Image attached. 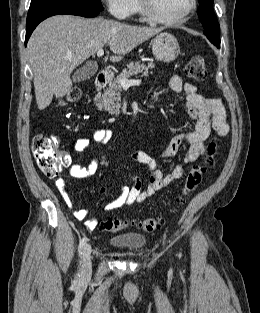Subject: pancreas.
Masks as SVG:
<instances>
[{
    "mask_svg": "<svg viewBox=\"0 0 260 313\" xmlns=\"http://www.w3.org/2000/svg\"><path fill=\"white\" fill-rule=\"evenodd\" d=\"M155 65L153 63H150L148 65L141 64L139 62L137 63H130L127 65V68H125L122 73L114 79L109 87L104 91V93L97 96L99 99L98 101V108L99 110H104L109 112L110 114H115L118 116L120 114V108H121V91L122 86L120 85L121 79H128L132 77L133 75H137L138 73H141L142 76L147 77L148 70L153 69ZM152 74V72H151Z\"/></svg>",
    "mask_w": 260,
    "mask_h": 313,
    "instance_id": "obj_1",
    "label": "pancreas"
}]
</instances>
